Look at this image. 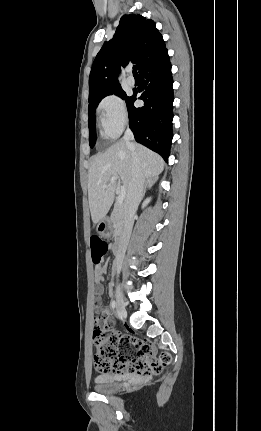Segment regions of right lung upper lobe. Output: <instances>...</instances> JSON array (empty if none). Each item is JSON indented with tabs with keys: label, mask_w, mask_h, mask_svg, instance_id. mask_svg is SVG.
I'll return each mask as SVG.
<instances>
[{
	"label": "right lung upper lobe",
	"mask_w": 261,
	"mask_h": 431,
	"mask_svg": "<svg viewBox=\"0 0 261 431\" xmlns=\"http://www.w3.org/2000/svg\"><path fill=\"white\" fill-rule=\"evenodd\" d=\"M165 49L155 22L141 15H123L112 40L97 54L89 77V97L119 86L120 66L130 61L138 70Z\"/></svg>",
	"instance_id": "obj_1"
}]
</instances>
